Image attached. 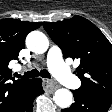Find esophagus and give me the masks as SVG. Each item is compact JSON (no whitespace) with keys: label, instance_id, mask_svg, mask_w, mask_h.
I'll use <instances>...</instances> for the list:
<instances>
[{"label":"esophagus","instance_id":"1","mask_svg":"<svg viewBox=\"0 0 112 112\" xmlns=\"http://www.w3.org/2000/svg\"><path fill=\"white\" fill-rule=\"evenodd\" d=\"M43 82L45 84V90L49 93L54 92L59 87V85L55 81L50 79H43Z\"/></svg>","mask_w":112,"mask_h":112}]
</instances>
